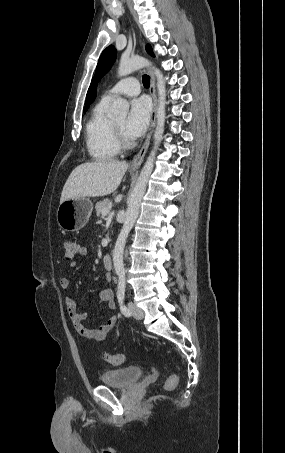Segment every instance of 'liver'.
Returning a JSON list of instances; mask_svg holds the SVG:
<instances>
[{"instance_id":"liver-1","label":"liver","mask_w":285,"mask_h":453,"mask_svg":"<svg viewBox=\"0 0 285 453\" xmlns=\"http://www.w3.org/2000/svg\"><path fill=\"white\" fill-rule=\"evenodd\" d=\"M125 161H97L77 166L68 177L60 198L65 200L79 197H101L114 192L126 170Z\"/></svg>"}]
</instances>
